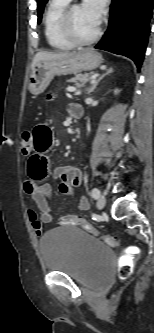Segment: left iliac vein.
<instances>
[{
  "label": "left iliac vein",
  "mask_w": 154,
  "mask_h": 333,
  "mask_svg": "<svg viewBox=\"0 0 154 333\" xmlns=\"http://www.w3.org/2000/svg\"><path fill=\"white\" fill-rule=\"evenodd\" d=\"M105 204H106V197L101 194L98 197V200H97V207H98V209L104 208Z\"/></svg>",
  "instance_id": "4c4485c4"
}]
</instances>
